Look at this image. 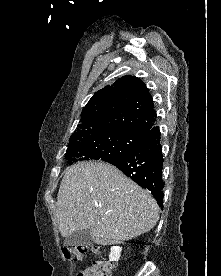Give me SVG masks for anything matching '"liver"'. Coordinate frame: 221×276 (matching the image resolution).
<instances>
[{
	"label": "liver",
	"instance_id": "liver-1",
	"mask_svg": "<svg viewBox=\"0 0 221 276\" xmlns=\"http://www.w3.org/2000/svg\"><path fill=\"white\" fill-rule=\"evenodd\" d=\"M61 235L89 229L98 245H114L150 231L159 207L147 190L116 167L81 162L66 169L56 203Z\"/></svg>",
	"mask_w": 221,
	"mask_h": 276
}]
</instances>
